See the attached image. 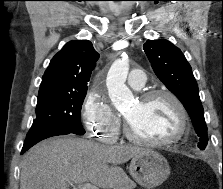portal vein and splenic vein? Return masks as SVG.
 <instances>
[{
  "label": "portal vein and splenic vein",
  "mask_w": 223,
  "mask_h": 189,
  "mask_svg": "<svg viewBox=\"0 0 223 189\" xmlns=\"http://www.w3.org/2000/svg\"><path fill=\"white\" fill-rule=\"evenodd\" d=\"M73 189H99V188L91 183H84L73 186Z\"/></svg>",
  "instance_id": "18ae733b"
}]
</instances>
